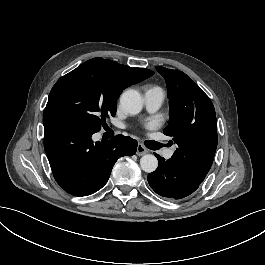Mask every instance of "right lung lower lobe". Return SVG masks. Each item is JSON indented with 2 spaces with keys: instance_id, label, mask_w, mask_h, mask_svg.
Listing matches in <instances>:
<instances>
[{
  "instance_id": "1",
  "label": "right lung lower lobe",
  "mask_w": 265,
  "mask_h": 265,
  "mask_svg": "<svg viewBox=\"0 0 265 265\" xmlns=\"http://www.w3.org/2000/svg\"><path fill=\"white\" fill-rule=\"evenodd\" d=\"M44 124V149L56 182L75 196H88L101 189L121 156L136 153L137 141L117 135L107 142L92 141L94 133L61 119Z\"/></svg>"
}]
</instances>
